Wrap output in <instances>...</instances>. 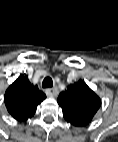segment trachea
I'll list each match as a JSON object with an SVG mask.
<instances>
[{
	"instance_id": "obj_1",
	"label": "trachea",
	"mask_w": 118,
	"mask_h": 142,
	"mask_svg": "<svg viewBox=\"0 0 118 142\" xmlns=\"http://www.w3.org/2000/svg\"><path fill=\"white\" fill-rule=\"evenodd\" d=\"M53 86V81L50 77L44 78L42 82V87L43 88H51Z\"/></svg>"
}]
</instances>
